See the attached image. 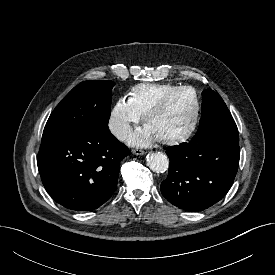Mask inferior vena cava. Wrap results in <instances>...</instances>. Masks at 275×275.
Returning a JSON list of instances; mask_svg holds the SVG:
<instances>
[{
    "mask_svg": "<svg viewBox=\"0 0 275 275\" xmlns=\"http://www.w3.org/2000/svg\"><path fill=\"white\" fill-rule=\"evenodd\" d=\"M131 131L129 125L127 124H117L112 127V133L119 139H126L128 133Z\"/></svg>",
    "mask_w": 275,
    "mask_h": 275,
    "instance_id": "obj_1",
    "label": "inferior vena cava"
}]
</instances>
